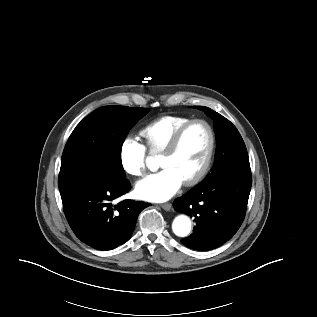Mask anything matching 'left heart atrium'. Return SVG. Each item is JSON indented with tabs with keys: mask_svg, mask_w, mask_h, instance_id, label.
<instances>
[{
	"mask_svg": "<svg viewBox=\"0 0 317 317\" xmlns=\"http://www.w3.org/2000/svg\"><path fill=\"white\" fill-rule=\"evenodd\" d=\"M183 180L171 168L151 174L136 184L137 195L147 201L163 202L170 199L181 187Z\"/></svg>",
	"mask_w": 317,
	"mask_h": 317,
	"instance_id": "obj_1",
	"label": "left heart atrium"
}]
</instances>
